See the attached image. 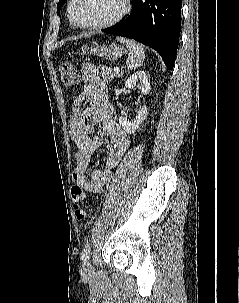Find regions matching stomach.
I'll list each match as a JSON object with an SVG mask.
<instances>
[{
	"mask_svg": "<svg viewBox=\"0 0 239 303\" xmlns=\"http://www.w3.org/2000/svg\"><path fill=\"white\" fill-rule=\"evenodd\" d=\"M91 53L97 54L100 57L107 58L110 60H116L118 59L122 53H123V48L120 46L112 43L110 45H103V46H96L92 47L90 49Z\"/></svg>",
	"mask_w": 239,
	"mask_h": 303,
	"instance_id": "0dacf381",
	"label": "stomach"
}]
</instances>
